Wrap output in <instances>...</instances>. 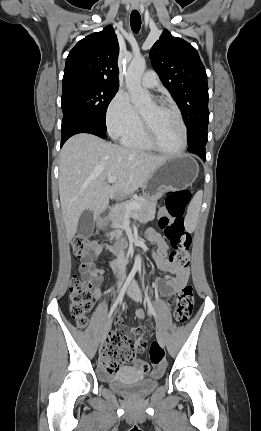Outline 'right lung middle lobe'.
Here are the masks:
<instances>
[{"instance_id":"dd1d6c3e","label":"right lung middle lobe","mask_w":261,"mask_h":431,"mask_svg":"<svg viewBox=\"0 0 261 431\" xmlns=\"http://www.w3.org/2000/svg\"><path fill=\"white\" fill-rule=\"evenodd\" d=\"M62 83L63 115L76 116L106 132V110L119 87L86 77L63 79Z\"/></svg>"}]
</instances>
